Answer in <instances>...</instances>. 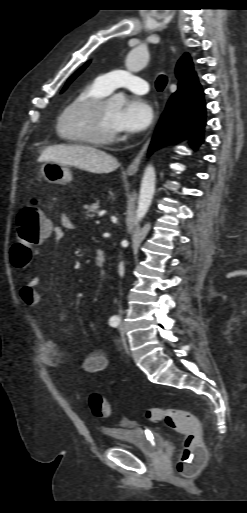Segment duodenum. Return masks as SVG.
Masks as SVG:
<instances>
[{"instance_id":"1","label":"duodenum","mask_w":247,"mask_h":513,"mask_svg":"<svg viewBox=\"0 0 247 513\" xmlns=\"http://www.w3.org/2000/svg\"><path fill=\"white\" fill-rule=\"evenodd\" d=\"M106 261V254L102 248H97L95 251V264L98 267H103Z\"/></svg>"}]
</instances>
